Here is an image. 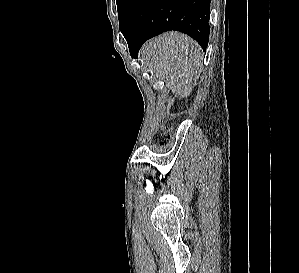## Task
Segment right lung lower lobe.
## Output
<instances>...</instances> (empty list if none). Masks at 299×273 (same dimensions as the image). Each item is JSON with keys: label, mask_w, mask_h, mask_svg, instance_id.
<instances>
[{"label": "right lung lower lobe", "mask_w": 299, "mask_h": 273, "mask_svg": "<svg viewBox=\"0 0 299 273\" xmlns=\"http://www.w3.org/2000/svg\"><path fill=\"white\" fill-rule=\"evenodd\" d=\"M210 0H134L121 29L132 57L143 43L164 31L177 30L206 50Z\"/></svg>", "instance_id": "98d812e1"}]
</instances>
